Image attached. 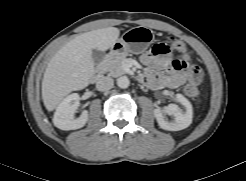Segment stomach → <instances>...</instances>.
Instances as JSON below:
<instances>
[{
    "mask_svg": "<svg viewBox=\"0 0 246 181\" xmlns=\"http://www.w3.org/2000/svg\"><path fill=\"white\" fill-rule=\"evenodd\" d=\"M154 40L153 32L146 27H135L126 31L110 50V56L115 57L127 53L140 54L148 49Z\"/></svg>",
    "mask_w": 246,
    "mask_h": 181,
    "instance_id": "obj_1",
    "label": "stomach"
}]
</instances>
